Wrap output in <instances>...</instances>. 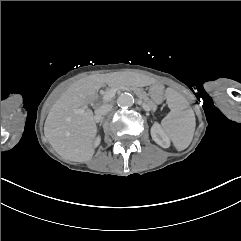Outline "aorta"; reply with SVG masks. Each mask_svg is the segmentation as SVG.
<instances>
[{
	"label": "aorta",
	"mask_w": 241,
	"mask_h": 241,
	"mask_svg": "<svg viewBox=\"0 0 241 241\" xmlns=\"http://www.w3.org/2000/svg\"><path fill=\"white\" fill-rule=\"evenodd\" d=\"M117 104L121 108H128L134 104V98L129 93L121 94L117 99Z\"/></svg>",
	"instance_id": "1"
}]
</instances>
